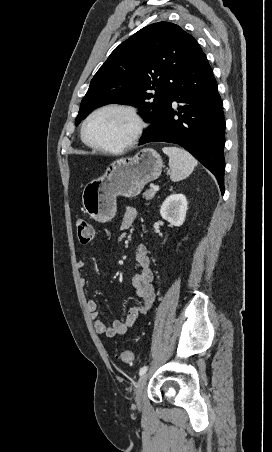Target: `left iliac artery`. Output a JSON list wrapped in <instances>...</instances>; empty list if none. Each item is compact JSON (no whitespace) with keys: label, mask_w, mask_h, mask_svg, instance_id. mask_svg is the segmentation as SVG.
<instances>
[{"label":"left iliac artery","mask_w":272,"mask_h":452,"mask_svg":"<svg viewBox=\"0 0 272 452\" xmlns=\"http://www.w3.org/2000/svg\"><path fill=\"white\" fill-rule=\"evenodd\" d=\"M147 369H148V366H143L142 368H140L139 375L141 376L144 373H146Z\"/></svg>","instance_id":"1"}]
</instances>
